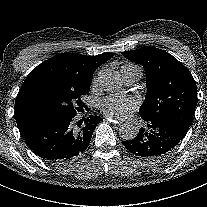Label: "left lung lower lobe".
I'll use <instances>...</instances> for the list:
<instances>
[{
  "instance_id": "1",
  "label": "left lung lower lobe",
  "mask_w": 207,
  "mask_h": 207,
  "mask_svg": "<svg viewBox=\"0 0 207 207\" xmlns=\"http://www.w3.org/2000/svg\"><path fill=\"white\" fill-rule=\"evenodd\" d=\"M144 121L145 127L139 130L134 139L122 142L131 153L140 157L153 158L165 155L187 133L186 130L171 120L144 119Z\"/></svg>"
}]
</instances>
